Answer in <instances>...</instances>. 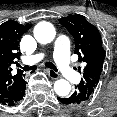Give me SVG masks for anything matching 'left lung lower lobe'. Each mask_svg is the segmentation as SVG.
<instances>
[{
    "label": "left lung lower lobe",
    "mask_w": 117,
    "mask_h": 117,
    "mask_svg": "<svg viewBox=\"0 0 117 117\" xmlns=\"http://www.w3.org/2000/svg\"><path fill=\"white\" fill-rule=\"evenodd\" d=\"M90 97L88 92L80 86L70 96L58 97V100L64 105H82L86 103Z\"/></svg>",
    "instance_id": "left-lung-lower-lobe-1"
}]
</instances>
